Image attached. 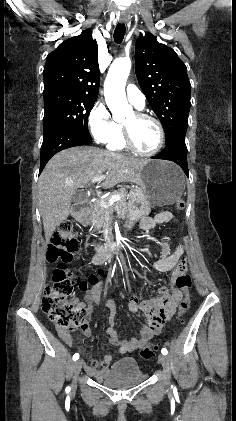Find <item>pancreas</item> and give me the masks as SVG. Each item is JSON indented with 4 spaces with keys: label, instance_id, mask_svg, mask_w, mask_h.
<instances>
[{
    "label": "pancreas",
    "instance_id": "pancreas-1",
    "mask_svg": "<svg viewBox=\"0 0 236 421\" xmlns=\"http://www.w3.org/2000/svg\"><path fill=\"white\" fill-rule=\"evenodd\" d=\"M112 194H120L121 196L120 200H116V202H114V206L117 208L118 217L124 219L127 213L126 192H124V190H114ZM105 200L106 204H108L109 198H105ZM90 215L94 221V227L95 229H98V231H100L101 227H111L113 206H102L100 200H96V202L91 204ZM100 241H102V239H100ZM92 247H94L95 251H97L98 245H92Z\"/></svg>",
    "mask_w": 236,
    "mask_h": 421
}]
</instances>
